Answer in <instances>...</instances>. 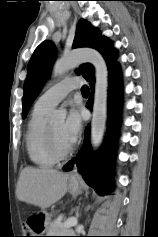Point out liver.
Instances as JSON below:
<instances>
[{
	"instance_id": "obj_1",
	"label": "liver",
	"mask_w": 158,
	"mask_h": 237,
	"mask_svg": "<svg viewBox=\"0 0 158 237\" xmlns=\"http://www.w3.org/2000/svg\"><path fill=\"white\" fill-rule=\"evenodd\" d=\"M69 175L54 169L25 167L19 176L16 195L20 201L46 209L68 189Z\"/></svg>"
}]
</instances>
